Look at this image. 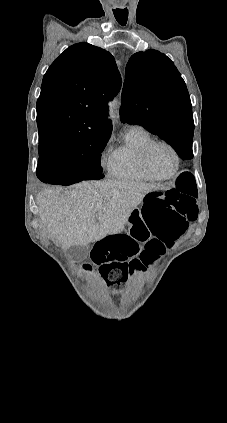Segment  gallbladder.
Wrapping results in <instances>:
<instances>
[{
	"label": "gallbladder",
	"instance_id": "bac80fb5",
	"mask_svg": "<svg viewBox=\"0 0 227 423\" xmlns=\"http://www.w3.org/2000/svg\"><path fill=\"white\" fill-rule=\"evenodd\" d=\"M89 251L90 245H71L68 249V253L77 261H84L88 257Z\"/></svg>",
	"mask_w": 227,
	"mask_h": 423
}]
</instances>
